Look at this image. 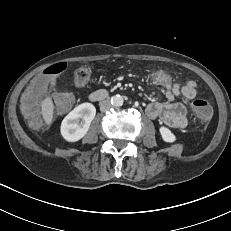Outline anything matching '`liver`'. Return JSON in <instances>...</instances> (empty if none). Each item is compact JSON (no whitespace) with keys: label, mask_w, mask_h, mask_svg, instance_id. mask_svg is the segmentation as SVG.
<instances>
[{"label":"liver","mask_w":231,"mask_h":231,"mask_svg":"<svg viewBox=\"0 0 231 231\" xmlns=\"http://www.w3.org/2000/svg\"><path fill=\"white\" fill-rule=\"evenodd\" d=\"M41 114L46 125L50 126L53 122L54 105L52 98L47 96L41 103Z\"/></svg>","instance_id":"obj_1"}]
</instances>
